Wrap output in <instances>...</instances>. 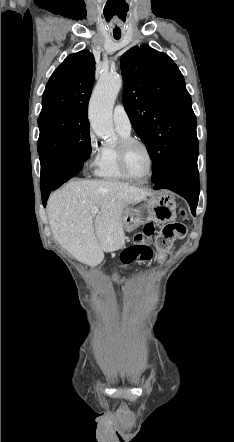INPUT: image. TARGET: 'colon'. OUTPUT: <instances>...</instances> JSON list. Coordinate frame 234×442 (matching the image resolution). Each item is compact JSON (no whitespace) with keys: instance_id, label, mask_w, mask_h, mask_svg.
Returning <instances> with one entry per match:
<instances>
[{"instance_id":"5ec220e1","label":"colon","mask_w":234,"mask_h":442,"mask_svg":"<svg viewBox=\"0 0 234 442\" xmlns=\"http://www.w3.org/2000/svg\"><path fill=\"white\" fill-rule=\"evenodd\" d=\"M185 216V212L181 211ZM186 234V226L180 222L165 225L159 232L154 224H147L143 230L134 237V244L125 248L120 260L124 264H130L137 259L150 260L154 251L151 247V239L155 237V248L159 252H167L176 239L183 238Z\"/></svg>"}]
</instances>
